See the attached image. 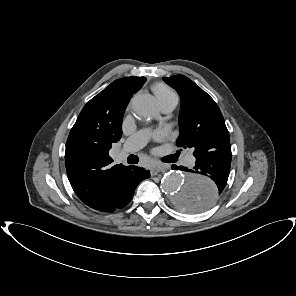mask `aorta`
I'll return each instance as SVG.
<instances>
[{"instance_id": "762f6f07", "label": "aorta", "mask_w": 296, "mask_h": 296, "mask_svg": "<svg viewBox=\"0 0 296 296\" xmlns=\"http://www.w3.org/2000/svg\"><path fill=\"white\" fill-rule=\"evenodd\" d=\"M133 112L148 118L154 110L152 97L138 93L131 100ZM161 187L168 201L186 213H204L211 210L219 198L216 182L204 174L189 171H169L161 180Z\"/></svg>"}]
</instances>
